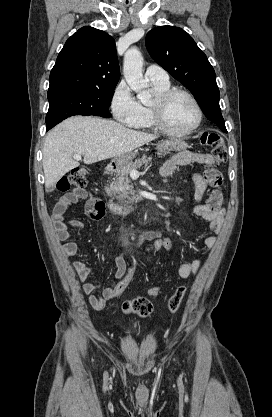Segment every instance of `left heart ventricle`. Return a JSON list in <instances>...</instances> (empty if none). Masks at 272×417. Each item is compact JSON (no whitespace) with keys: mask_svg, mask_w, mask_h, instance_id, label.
Listing matches in <instances>:
<instances>
[{"mask_svg":"<svg viewBox=\"0 0 272 417\" xmlns=\"http://www.w3.org/2000/svg\"><path fill=\"white\" fill-rule=\"evenodd\" d=\"M197 114L192 102L183 95L174 97L164 112L166 125L177 132L189 130L196 122Z\"/></svg>","mask_w":272,"mask_h":417,"instance_id":"left-heart-ventricle-1","label":"left heart ventricle"}]
</instances>
